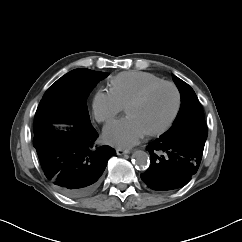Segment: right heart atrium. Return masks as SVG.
<instances>
[{
    "label": "right heart atrium",
    "mask_w": 242,
    "mask_h": 242,
    "mask_svg": "<svg viewBox=\"0 0 242 242\" xmlns=\"http://www.w3.org/2000/svg\"><path fill=\"white\" fill-rule=\"evenodd\" d=\"M124 109V105L111 89H99L92 100L94 117L99 122H109Z\"/></svg>",
    "instance_id": "obj_1"
}]
</instances>
